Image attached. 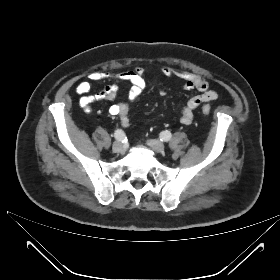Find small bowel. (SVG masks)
Returning a JSON list of instances; mask_svg holds the SVG:
<instances>
[{"label":"small bowel","instance_id":"obj_1","mask_svg":"<svg viewBox=\"0 0 280 280\" xmlns=\"http://www.w3.org/2000/svg\"><path fill=\"white\" fill-rule=\"evenodd\" d=\"M161 73L168 78L172 76L178 77L182 80V88L185 90L198 91L197 95L191 97L182 106L178 119L181 124H190L193 120L194 111L198 107L214 101L218 97L217 92L210 89L208 81L200 75L185 70H179L171 66H163L161 68ZM106 79L129 82L130 89L128 92V100L130 102H135L146 87L145 68L143 66H137L132 70L119 73L92 71L88 75V80L79 82L75 87L76 93L80 95L79 105L84 111L90 112L92 110V105L97 101H112L115 99L118 92V86L114 83L105 86L96 94L90 93L92 82ZM165 93L164 89H160L161 95H164ZM109 113L119 118L122 127L127 128L129 126V105L127 103L112 105L109 109Z\"/></svg>","mask_w":280,"mask_h":280}]
</instances>
